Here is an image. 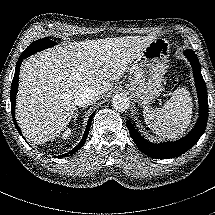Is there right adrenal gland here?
I'll list each match as a JSON object with an SVG mask.
<instances>
[{
	"mask_svg": "<svg viewBox=\"0 0 215 215\" xmlns=\"http://www.w3.org/2000/svg\"><path fill=\"white\" fill-rule=\"evenodd\" d=\"M79 114H80V113H79V111L77 110L76 113H75V115H74V120H75V121L77 120Z\"/></svg>",
	"mask_w": 215,
	"mask_h": 215,
	"instance_id": "obj_1",
	"label": "right adrenal gland"
}]
</instances>
